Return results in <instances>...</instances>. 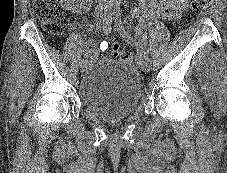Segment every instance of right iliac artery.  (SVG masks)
<instances>
[{"mask_svg":"<svg viewBox=\"0 0 227 173\" xmlns=\"http://www.w3.org/2000/svg\"><path fill=\"white\" fill-rule=\"evenodd\" d=\"M113 14V13H112ZM112 14H110V17H108L107 19H105V21L103 22V30L106 34L110 33V29H111V16ZM84 61V59L81 60V63Z\"/></svg>","mask_w":227,"mask_h":173,"instance_id":"right-iliac-artery-1","label":"right iliac artery"}]
</instances>
